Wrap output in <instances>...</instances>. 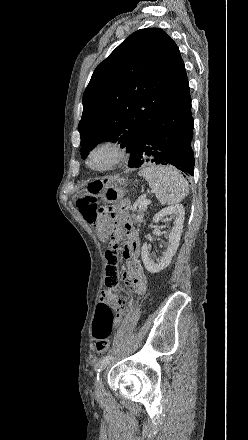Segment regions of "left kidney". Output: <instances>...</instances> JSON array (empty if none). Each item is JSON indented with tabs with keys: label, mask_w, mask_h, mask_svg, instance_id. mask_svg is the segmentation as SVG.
Masks as SVG:
<instances>
[{
	"label": "left kidney",
	"mask_w": 248,
	"mask_h": 440,
	"mask_svg": "<svg viewBox=\"0 0 248 440\" xmlns=\"http://www.w3.org/2000/svg\"><path fill=\"white\" fill-rule=\"evenodd\" d=\"M174 219V226L168 235L169 244L161 259L155 263L150 257L147 243L142 246L141 257L146 270L150 273H157L165 269L171 262L172 257L177 251L185 219V209L182 205H173L162 209L153 217V222L158 223L165 216Z\"/></svg>",
	"instance_id": "1"
}]
</instances>
